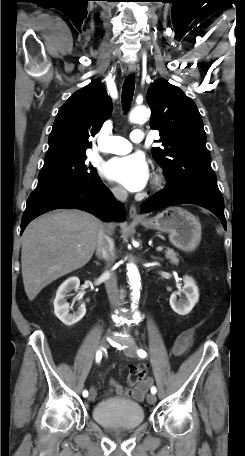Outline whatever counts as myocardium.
<instances>
[{
  "label": "myocardium",
  "mask_w": 245,
  "mask_h": 456,
  "mask_svg": "<svg viewBox=\"0 0 245 456\" xmlns=\"http://www.w3.org/2000/svg\"><path fill=\"white\" fill-rule=\"evenodd\" d=\"M164 182L163 176L160 174H155L153 178V186L158 188L160 187Z\"/></svg>",
  "instance_id": "myocardium-1"
}]
</instances>
